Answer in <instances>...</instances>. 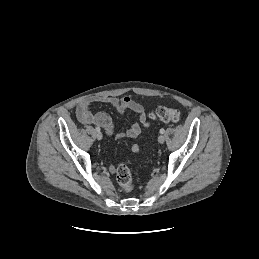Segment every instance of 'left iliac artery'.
<instances>
[{"label":"left iliac artery","instance_id":"1","mask_svg":"<svg viewBox=\"0 0 259 259\" xmlns=\"http://www.w3.org/2000/svg\"><path fill=\"white\" fill-rule=\"evenodd\" d=\"M165 132V130L162 128L160 129V133L163 134Z\"/></svg>","mask_w":259,"mask_h":259}]
</instances>
